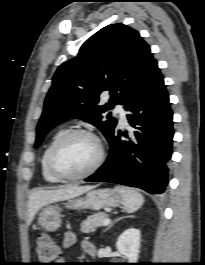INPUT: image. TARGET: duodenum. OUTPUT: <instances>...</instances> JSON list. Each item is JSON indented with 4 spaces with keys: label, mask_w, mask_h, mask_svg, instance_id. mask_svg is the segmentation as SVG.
I'll return each instance as SVG.
<instances>
[{
    "label": "duodenum",
    "mask_w": 205,
    "mask_h": 265,
    "mask_svg": "<svg viewBox=\"0 0 205 265\" xmlns=\"http://www.w3.org/2000/svg\"><path fill=\"white\" fill-rule=\"evenodd\" d=\"M86 252L89 256L94 257L96 254V249L95 246L93 244H90L87 248H86Z\"/></svg>",
    "instance_id": "duodenum-1"
}]
</instances>
